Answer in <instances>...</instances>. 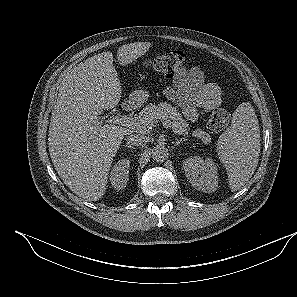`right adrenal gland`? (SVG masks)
<instances>
[{
	"mask_svg": "<svg viewBox=\"0 0 297 297\" xmlns=\"http://www.w3.org/2000/svg\"><path fill=\"white\" fill-rule=\"evenodd\" d=\"M124 147H126V148H128V149H131V150H132V149H134L132 146H130V145H127V144H126V145H124Z\"/></svg>",
	"mask_w": 297,
	"mask_h": 297,
	"instance_id": "2a0ac1e0",
	"label": "right adrenal gland"
}]
</instances>
